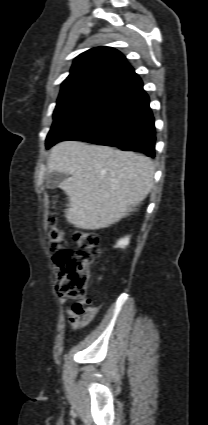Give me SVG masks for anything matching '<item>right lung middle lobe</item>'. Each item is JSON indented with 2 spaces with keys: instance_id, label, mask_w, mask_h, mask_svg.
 I'll return each mask as SVG.
<instances>
[{
  "instance_id": "obj_1",
  "label": "right lung middle lobe",
  "mask_w": 208,
  "mask_h": 425,
  "mask_svg": "<svg viewBox=\"0 0 208 425\" xmlns=\"http://www.w3.org/2000/svg\"><path fill=\"white\" fill-rule=\"evenodd\" d=\"M100 93L101 91H80L59 99L53 114L54 122L52 128L59 124L64 115L86 105L88 102L95 99ZM54 142V139L48 134L46 147L49 148Z\"/></svg>"
}]
</instances>
